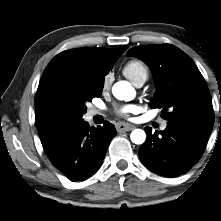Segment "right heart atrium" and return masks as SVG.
Segmentation results:
<instances>
[{
  "mask_svg": "<svg viewBox=\"0 0 221 221\" xmlns=\"http://www.w3.org/2000/svg\"><path fill=\"white\" fill-rule=\"evenodd\" d=\"M111 81V74H107L105 77H104V81H103V84L104 86H108L109 83Z\"/></svg>",
  "mask_w": 221,
  "mask_h": 221,
  "instance_id": "d8ad5b80",
  "label": "right heart atrium"
}]
</instances>
